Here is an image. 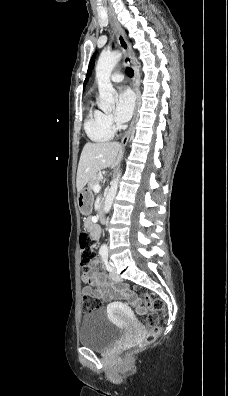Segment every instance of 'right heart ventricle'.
<instances>
[{
  "label": "right heart ventricle",
  "mask_w": 228,
  "mask_h": 396,
  "mask_svg": "<svg viewBox=\"0 0 228 396\" xmlns=\"http://www.w3.org/2000/svg\"><path fill=\"white\" fill-rule=\"evenodd\" d=\"M84 129L87 136L94 142H106L113 138L114 129L104 120V113L97 109H90L85 120Z\"/></svg>",
  "instance_id": "e07e8e85"
}]
</instances>
